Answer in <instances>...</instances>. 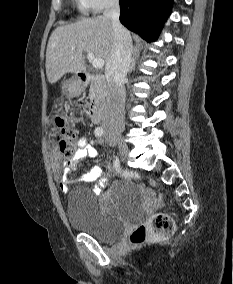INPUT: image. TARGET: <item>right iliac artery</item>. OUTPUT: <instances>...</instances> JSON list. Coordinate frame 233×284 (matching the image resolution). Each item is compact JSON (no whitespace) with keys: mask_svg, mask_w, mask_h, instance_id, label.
<instances>
[{"mask_svg":"<svg viewBox=\"0 0 233 284\" xmlns=\"http://www.w3.org/2000/svg\"><path fill=\"white\" fill-rule=\"evenodd\" d=\"M94 133H95V136H96V137H101V136H103V134H104V130H103L102 127H97V128L95 129ZM115 168H119V167H115Z\"/></svg>","mask_w":233,"mask_h":284,"instance_id":"1","label":"right iliac artery"}]
</instances>
